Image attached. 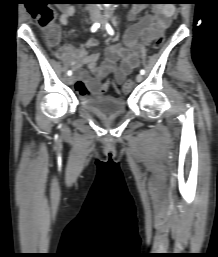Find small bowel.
Returning <instances> with one entry per match:
<instances>
[{
    "label": "small bowel",
    "mask_w": 218,
    "mask_h": 257,
    "mask_svg": "<svg viewBox=\"0 0 218 257\" xmlns=\"http://www.w3.org/2000/svg\"><path fill=\"white\" fill-rule=\"evenodd\" d=\"M140 6L131 8L128 14V20L133 21L141 11ZM75 13L73 6L61 8L59 21L65 25L69 22ZM174 15L172 5H160L154 8V14L143 16L127 33L125 46L116 44L108 45L106 49L105 60L98 64L99 53H88V49L95 48L98 45L96 39H89L85 45L79 49L61 48L57 51V56H68L69 62L76 73V90L83 97L102 94L101 82L109 74L114 75V82L123 84L126 77L139 64V52L143 46L149 45L155 41L159 34H163L169 27ZM87 65L89 72L82 69ZM104 80V81H103ZM121 97L124 98V89H121Z\"/></svg>",
    "instance_id": "1"
}]
</instances>
